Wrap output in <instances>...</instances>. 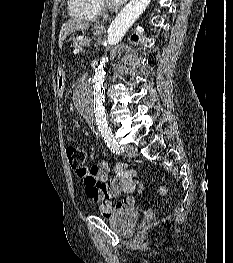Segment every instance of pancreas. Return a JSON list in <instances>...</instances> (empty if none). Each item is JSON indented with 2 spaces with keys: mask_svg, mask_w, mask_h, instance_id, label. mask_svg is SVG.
<instances>
[{
  "mask_svg": "<svg viewBox=\"0 0 233 263\" xmlns=\"http://www.w3.org/2000/svg\"><path fill=\"white\" fill-rule=\"evenodd\" d=\"M89 40H86V39H84V40H75L74 42H73V46L75 47V48H80V49H82L83 47H87L88 45H89Z\"/></svg>",
  "mask_w": 233,
  "mask_h": 263,
  "instance_id": "1",
  "label": "pancreas"
}]
</instances>
